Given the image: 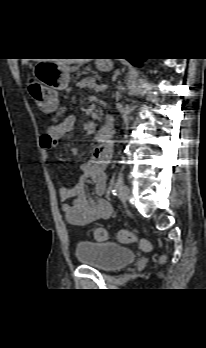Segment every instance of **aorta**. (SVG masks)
<instances>
[{"label": "aorta", "instance_id": "obj_1", "mask_svg": "<svg viewBox=\"0 0 206 348\" xmlns=\"http://www.w3.org/2000/svg\"><path fill=\"white\" fill-rule=\"evenodd\" d=\"M136 77H137V74L133 73L132 76H131V78H130V80L133 81V80L136 79Z\"/></svg>", "mask_w": 206, "mask_h": 348}]
</instances>
